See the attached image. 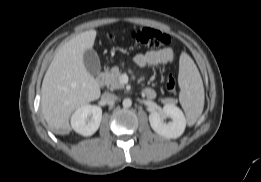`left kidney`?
<instances>
[{"instance_id":"obj_1","label":"left kidney","mask_w":261,"mask_h":182,"mask_svg":"<svg viewBox=\"0 0 261 182\" xmlns=\"http://www.w3.org/2000/svg\"><path fill=\"white\" fill-rule=\"evenodd\" d=\"M170 117L172 121L164 120ZM151 128L159 135L176 139L180 137L186 127V119L180 108L174 104H166L160 112H152L149 115Z\"/></svg>"}]
</instances>
